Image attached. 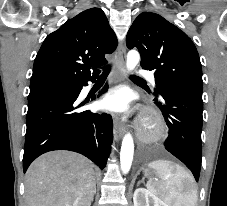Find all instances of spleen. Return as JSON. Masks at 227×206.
<instances>
[{
  "instance_id": "1",
  "label": "spleen",
  "mask_w": 227,
  "mask_h": 206,
  "mask_svg": "<svg viewBox=\"0 0 227 206\" xmlns=\"http://www.w3.org/2000/svg\"><path fill=\"white\" fill-rule=\"evenodd\" d=\"M162 181L150 179L147 188L168 206H196L198 195L190 174L171 161L157 160L148 165Z\"/></svg>"
}]
</instances>
